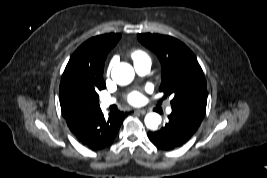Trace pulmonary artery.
<instances>
[{"label":"pulmonary artery","mask_w":267,"mask_h":178,"mask_svg":"<svg viewBox=\"0 0 267 178\" xmlns=\"http://www.w3.org/2000/svg\"><path fill=\"white\" fill-rule=\"evenodd\" d=\"M135 70L137 71L138 74L144 75L150 71L151 68V61L150 60H144L141 62H136L134 63ZM115 102L114 98H104L101 100V107L106 108L109 105L113 104ZM166 112L168 114L171 113V109L167 108Z\"/></svg>","instance_id":"e3ab8cb5"}]
</instances>
